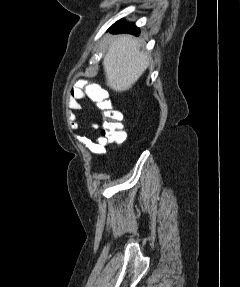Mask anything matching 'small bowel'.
I'll return each mask as SVG.
<instances>
[{"label":"small bowel","instance_id":"small-bowel-1","mask_svg":"<svg viewBox=\"0 0 240 287\" xmlns=\"http://www.w3.org/2000/svg\"><path fill=\"white\" fill-rule=\"evenodd\" d=\"M86 99V93L84 90L78 86H75L71 89L68 100L67 106L69 109L73 111L80 112L82 111L83 107L81 101ZM90 129L94 132L98 131L99 125L92 124ZM80 140L96 155H104L105 154V146L107 141L102 137L99 136L95 141L91 140L88 137H81Z\"/></svg>","mask_w":240,"mask_h":287}]
</instances>
